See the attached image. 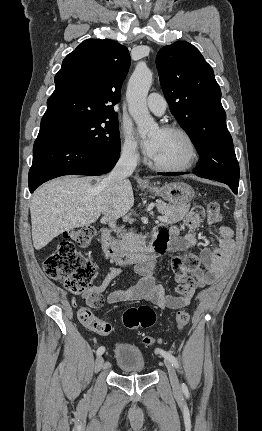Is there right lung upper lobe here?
<instances>
[{
	"instance_id": "right-lung-upper-lobe-1",
	"label": "right lung upper lobe",
	"mask_w": 262,
	"mask_h": 431,
	"mask_svg": "<svg viewBox=\"0 0 262 431\" xmlns=\"http://www.w3.org/2000/svg\"><path fill=\"white\" fill-rule=\"evenodd\" d=\"M130 67L128 49L116 41L88 39L63 60L41 126L116 116L121 85Z\"/></svg>"
}]
</instances>
